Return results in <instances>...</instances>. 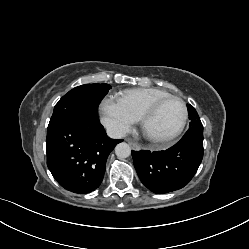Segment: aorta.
<instances>
[{"label":"aorta","mask_w":249,"mask_h":249,"mask_svg":"<svg viewBox=\"0 0 249 249\" xmlns=\"http://www.w3.org/2000/svg\"><path fill=\"white\" fill-rule=\"evenodd\" d=\"M115 154L117 155L118 158L121 159L127 158L131 155V148L125 142L119 143L115 147Z\"/></svg>","instance_id":"aorta-1"}]
</instances>
